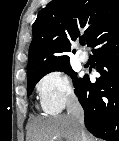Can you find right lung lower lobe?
Returning a JSON list of instances; mask_svg holds the SVG:
<instances>
[{
    "label": "right lung lower lobe",
    "mask_w": 119,
    "mask_h": 141,
    "mask_svg": "<svg viewBox=\"0 0 119 141\" xmlns=\"http://www.w3.org/2000/svg\"><path fill=\"white\" fill-rule=\"evenodd\" d=\"M90 46L101 76L91 83L85 75L75 84L85 126L98 138L119 141V17L103 26Z\"/></svg>",
    "instance_id": "1"
}]
</instances>
